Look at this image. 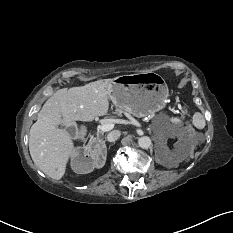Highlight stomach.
I'll return each instance as SVG.
<instances>
[{
    "label": "stomach",
    "mask_w": 233,
    "mask_h": 233,
    "mask_svg": "<svg viewBox=\"0 0 233 233\" xmlns=\"http://www.w3.org/2000/svg\"><path fill=\"white\" fill-rule=\"evenodd\" d=\"M168 96L166 82L155 72L120 75L110 84L112 103L136 117H146L162 110Z\"/></svg>",
    "instance_id": "stomach-1"
}]
</instances>
